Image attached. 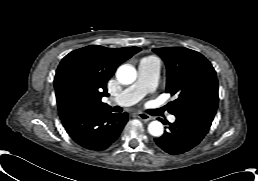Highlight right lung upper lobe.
I'll return each mask as SVG.
<instances>
[{"instance_id": "right-lung-upper-lobe-1", "label": "right lung upper lobe", "mask_w": 258, "mask_h": 181, "mask_svg": "<svg viewBox=\"0 0 258 181\" xmlns=\"http://www.w3.org/2000/svg\"><path fill=\"white\" fill-rule=\"evenodd\" d=\"M139 51L138 47L90 45L66 55L54 78L59 115L74 111V104H80L83 108H109L101 102L102 97L109 95L107 81L121 63Z\"/></svg>"}]
</instances>
